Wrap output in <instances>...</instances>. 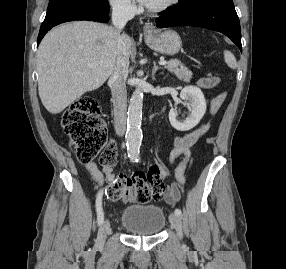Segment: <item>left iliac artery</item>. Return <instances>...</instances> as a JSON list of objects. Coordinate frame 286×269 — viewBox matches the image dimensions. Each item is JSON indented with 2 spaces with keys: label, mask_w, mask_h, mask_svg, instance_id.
Returning <instances> with one entry per match:
<instances>
[{
  "label": "left iliac artery",
  "mask_w": 286,
  "mask_h": 269,
  "mask_svg": "<svg viewBox=\"0 0 286 269\" xmlns=\"http://www.w3.org/2000/svg\"><path fill=\"white\" fill-rule=\"evenodd\" d=\"M139 160H140V158L137 157V158H136V161H139ZM174 212H175V214L178 215V216L181 215V210H180L179 208H176Z\"/></svg>",
  "instance_id": "1"
}]
</instances>
